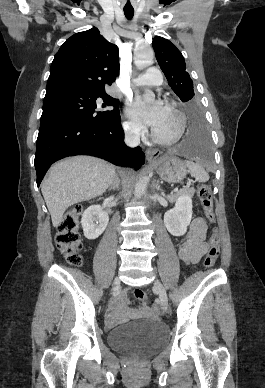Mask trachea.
<instances>
[{
  "label": "trachea",
  "mask_w": 265,
  "mask_h": 388,
  "mask_svg": "<svg viewBox=\"0 0 265 388\" xmlns=\"http://www.w3.org/2000/svg\"><path fill=\"white\" fill-rule=\"evenodd\" d=\"M124 14L128 20H130L134 15V10H124Z\"/></svg>",
  "instance_id": "1"
}]
</instances>
